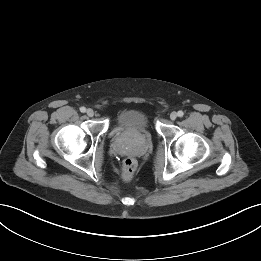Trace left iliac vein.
Returning <instances> with one entry per match:
<instances>
[{
    "label": "left iliac vein",
    "mask_w": 261,
    "mask_h": 261,
    "mask_svg": "<svg viewBox=\"0 0 261 261\" xmlns=\"http://www.w3.org/2000/svg\"><path fill=\"white\" fill-rule=\"evenodd\" d=\"M177 118V113L176 112H172L171 114H170V119L171 120H175Z\"/></svg>",
    "instance_id": "4c4485c4"
}]
</instances>
